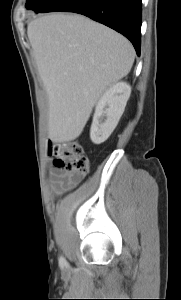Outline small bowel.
<instances>
[{"instance_id": "1", "label": "small bowel", "mask_w": 181, "mask_h": 300, "mask_svg": "<svg viewBox=\"0 0 181 300\" xmlns=\"http://www.w3.org/2000/svg\"><path fill=\"white\" fill-rule=\"evenodd\" d=\"M79 179L72 177L63 169L53 168L50 171V187L57 194L73 188L79 182Z\"/></svg>"}]
</instances>
